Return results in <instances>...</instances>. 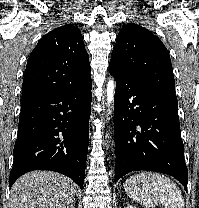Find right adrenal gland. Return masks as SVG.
<instances>
[{"label":"right adrenal gland","mask_w":199,"mask_h":208,"mask_svg":"<svg viewBox=\"0 0 199 208\" xmlns=\"http://www.w3.org/2000/svg\"><path fill=\"white\" fill-rule=\"evenodd\" d=\"M67 208H75V203H74V201L71 202V204H70Z\"/></svg>","instance_id":"right-adrenal-gland-1"}]
</instances>
